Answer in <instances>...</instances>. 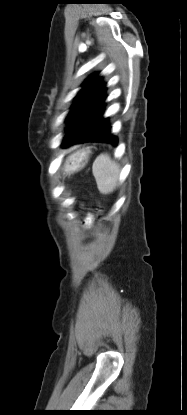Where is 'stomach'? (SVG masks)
<instances>
[{
  "label": "stomach",
  "instance_id": "obj_1",
  "mask_svg": "<svg viewBox=\"0 0 187 415\" xmlns=\"http://www.w3.org/2000/svg\"><path fill=\"white\" fill-rule=\"evenodd\" d=\"M91 154L90 148L76 149L65 162V172H78L88 163Z\"/></svg>",
  "mask_w": 187,
  "mask_h": 415
}]
</instances>
